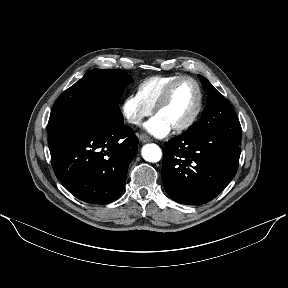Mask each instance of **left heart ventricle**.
I'll return each mask as SVG.
<instances>
[{
	"mask_svg": "<svg viewBox=\"0 0 288 288\" xmlns=\"http://www.w3.org/2000/svg\"><path fill=\"white\" fill-rule=\"evenodd\" d=\"M196 103L197 90L192 82L185 80L177 84L169 101L157 115L174 127L185 122L192 115Z\"/></svg>",
	"mask_w": 288,
	"mask_h": 288,
	"instance_id": "1",
	"label": "left heart ventricle"
}]
</instances>
